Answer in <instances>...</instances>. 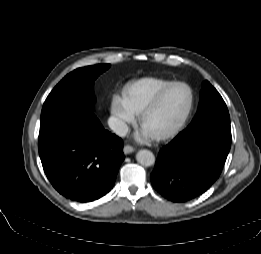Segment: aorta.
Wrapping results in <instances>:
<instances>
[{
    "label": "aorta",
    "instance_id": "762f6f07",
    "mask_svg": "<svg viewBox=\"0 0 261 254\" xmlns=\"http://www.w3.org/2000/svg\"><path fill=\"white\" fill-rule=\"evenodd\" d=\"M136 160L139 164L149 167L155 163V156L149 150H140L136 154Z\"/></svg>",
    "mask_w": 261,
    "mask_h": 254
}]
</instances>
